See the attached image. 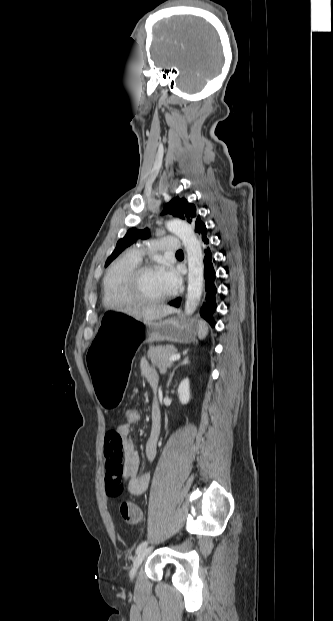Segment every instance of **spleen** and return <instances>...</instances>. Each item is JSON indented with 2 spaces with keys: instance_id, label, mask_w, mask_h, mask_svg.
<instances>
[{
  "instance_id": "3e777b00",
  "label": "spleen",
  "mask_w": 333,
  "mask_h": 621,
  "mask_svg": "<svg viewBox=\"0 0 333 621\" xmlns=\"http://www.w3.org/2000/svg\"><path fill=\"white\" fill-rule=\"evenodd\" d=\"M208 334V326L204 320H200L198 323V338L204 339Z\"/></svg>"
}]
</instances>
